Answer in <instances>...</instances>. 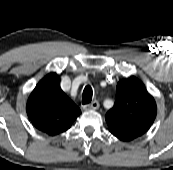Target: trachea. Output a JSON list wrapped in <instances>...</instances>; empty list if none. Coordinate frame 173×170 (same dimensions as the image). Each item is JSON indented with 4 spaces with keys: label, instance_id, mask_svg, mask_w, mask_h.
Masks as SVG:
<instances>
[{
    "label": "trachea",
    "instance_id": "trachea-1",
    "mask_svg": "<svg viewBox=\"0 0 173 170\" xmlns=\"http://www.w3.org/2000/svg\"><path fill=\"white\" fill-rule=\"evenodd\" d=\"M93 96V91L91 86L87 85L82 93V104H88L91 102Z\"/></svg>",
    "mask_w": 173,
    "mask_h": 170
}]
</instances>
